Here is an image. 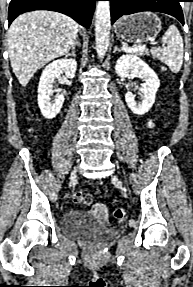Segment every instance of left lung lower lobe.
<instances>
[{
	"instance_id": "obj_1",
	"label": "left lung lower lobe",
	"mask_w": 193,
	"mask_h": 287,
	"mask_svg": "<svg viewBox=\"0 0 193 287\" xmlns=\"http://www.w3.org/2000/svg\"><path fill=\"white\" fill-rule=\"evenodd\" d=\"M111 3V23L122 15L143 11L162 12L177 18L184 25L181 0H109Z\"/></svg>"
}]
</instances>
